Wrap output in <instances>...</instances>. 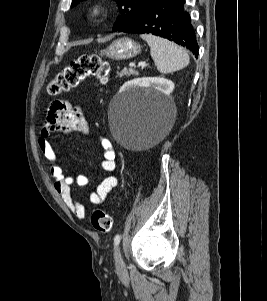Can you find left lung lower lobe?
I'll return each mask as SVG.
<instances>
[{
	"mask_svg": "<svg viewBox=\"0 0 267 301\" xmlns=\"http://www.w3.org/2000/svg\"><path fill=\"white\" fill-rule=\"evenodd\" d=\"M117 31L160 36L198 56L196 34L185 9V0H151L131 22Z\"/></svg>",
	"mask_w": 267,
	"mask_h": 301,
	"instance_id": "left-lung-lower-lobe-1",
	"label": "left lung lower lobe"
}]
</instances>
